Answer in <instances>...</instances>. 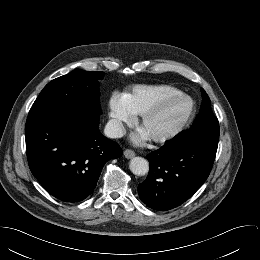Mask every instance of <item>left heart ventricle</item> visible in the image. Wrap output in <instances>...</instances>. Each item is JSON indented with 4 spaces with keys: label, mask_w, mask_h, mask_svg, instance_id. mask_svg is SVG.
<instances>
[{
    "label": "left heart ventricle",
    "mask_w": 260,
    "mask_h": 260,
    "mask_svg": "<svg viewBox=\"0 0 260 260\" xmlns=\"http://www.w3.org/2000/svg\"><path fill=\"white\" fill-rule=\"evenodd\" d=\"M187 108L188 102L184 99L171 101L145 123L144 131L151 136L173 128L184 117Z\"/></svg>",
    "instance_id": "obj_1"
}]
</instances>
